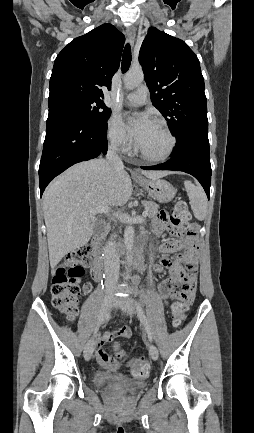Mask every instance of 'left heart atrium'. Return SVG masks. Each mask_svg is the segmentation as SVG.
I'll list each match as a JSON object with an SVG mask.
<instances>
[{
    "label": "left heart atrium",
    "mask_w": 254,
    "mask_h": 433,
    "mask_svg": "<svg viewBox=\"0 0 254 433\" xmlns=\"http://www.w3.org/2000/svg\"><path fill=\"white\" fill-rule=\"evenodd\" d=\"M128 129L131 135L139 143L148 132L153 121L147 114L143 113H128L126 114Z\"/></svg>",
    "instance_id": "39dd6f15"
}]
</instances>
